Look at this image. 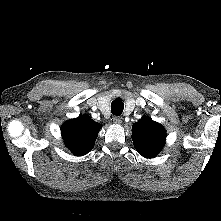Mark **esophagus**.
Returning <instances> with one entry per match:
<instances>
[{"label":"esophagus","instance_id":"obj_1","mask_svg":"<svg viewBox=\"0 0 221 221\" xmlns=\"http://www.w3.org/2000/svg\"><path fill=\"white\" fill-rule=\"evenodd\" d=\"M113 122L117 125H120L122 123V118L119 116H114L113 117Z\"/></svg>","mask_w":221,"mask_h":221}]
</instances>
